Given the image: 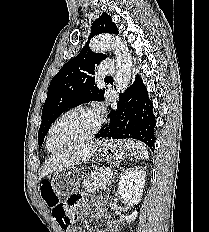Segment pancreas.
<instances>
[{
	"mask_svg": "<svg viewBox=\"0 0 209 232\" xmlns=\"http://www.w3.org/2000/svg\"><path fill=\"white\" fill-rule=\"evenodd\" d=\"M110 168H100L83 180L85 190L92 193L98 189H108L110 177L106 174Z\"/></svg>",
	"mask_w": 209,
	"mask_h": 232,
	"instance_id": "pancreas-1",
	"label": "pancreas"
}]
</instances>
